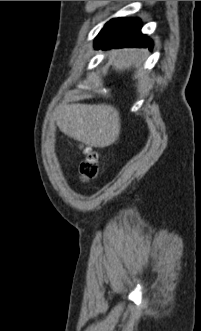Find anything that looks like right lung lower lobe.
I'll return each mask as SVG.
<instances>
[{
	"label": "right lung lower lobe",
	"instance_id": "1",
	"mask_svg": "<svg viewBox=\"0 0 201 331\" xmlns=\"http://www.w3.org/2000/svg\"><path fill=\"white\" fill-rule=\"evenodd\" d=\"M141 21L137 18H115L109 21L95 39V48L147 47L153 43L140 31Z\"/></svg>",
	"mask_w": 201,
	"mask_h": 331
}]
</instances>
